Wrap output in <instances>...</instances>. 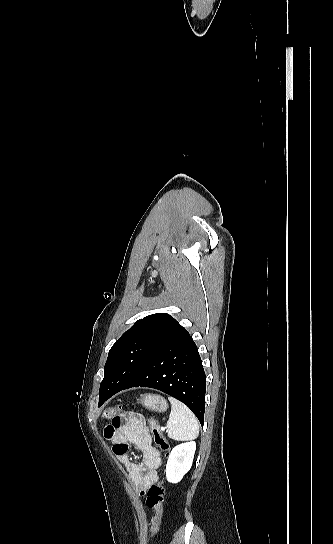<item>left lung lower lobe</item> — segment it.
<instances>
[{"label":"left lung lower lobe","mask_w":333,"mask_h":544,"mask_svg":"<svg viewBox=\"0 0 333 544\" xmlns=\"http://www.w3.org/2000/svg\"><path fill=\"white\" fill-rule=\"evenodd\" d=\"M131 387L158 389L186 404L204 424L206 377L195 342L182 327L124 387L100 392L101 406L121 390Z\"/></svg>","instance_id":"left-lung-lower-lobe-1"}]
</instances>
